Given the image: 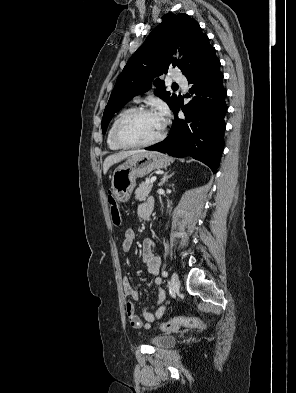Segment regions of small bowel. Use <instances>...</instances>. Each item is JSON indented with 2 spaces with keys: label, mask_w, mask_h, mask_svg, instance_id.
I'll return each mask as SVG.
<instances>
[{
  "label": "small bowel",
  "mask_w": 296,
  "mask_h": 393,
  "mask_svg": "<svg viewBox=\"0 0 296 393\" xmlns=\"http://www.w3.org/2000/svg\"><path fill=\"white\" fill-rule=\"evenodd\" d=\"M153 201H148L139 205L137 209L138 216L143 220H150L153 211ZM136 234L134 230L127 229L124 233V239L122 242V249L124 252H129L135 242ZM156 244L152 239H145L142 242V262L146 265L148 273L157 276L161 267V259L154 254ZM155 285L157 286L158 296L155 305L146 306L143 309L142 316L145 322L138 316L135 306L131 302H127L125 305V311L130 325L133 328H145L149 329L151 324L156 320H159L168 303L166 293L162 288V279L160 277L155 278ZM124 294L133 300L139 299V292L132 286V284L125 278L123 281Z\"/></svg>",
  "instance_id": "small-bowel-1"
}]
</instances>
